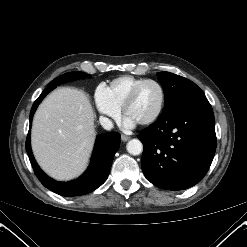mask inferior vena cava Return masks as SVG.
<instances>
[{
  "label": "inferior vena cava",
  "instance_id": "inferior-vena-cava-1",
  "mask_svg": "<svg viewBox=\"0 0 247 247\" xmlns=\"http://www.w3.org/2000/svg\"><path fill=\"white\" fill-rule=\"evenodd\" d=\"M99 122H100L101 126L106 130H111L113 128L112 121L107 117L100 116Z\"/></svg>",
  "mask_w": 247,
  "mask_h": 247
}]
</instances>
